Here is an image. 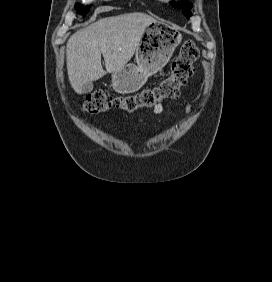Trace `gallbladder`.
<instances>
[{
	"instance_id": "1",
	"label": "gallbladder",
	"mask_w": 272,
	"mask_h": 282,
	"mask_svg": "<svg viewBox=\"0 0 272 282\" xmlns=\"http://www.w3.org/2000/svg\"><path fill=\"white\" fill-rule=\"evenodd\" d=\"M92 89H93L92 83H86L82 87V93H84V94L89 93V92L92 91Z\"/></svg>"
}]
</instances>
